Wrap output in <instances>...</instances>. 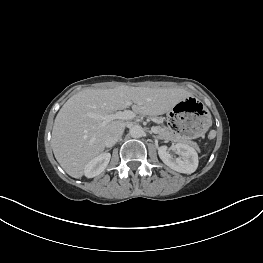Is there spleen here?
Listing matches in <instances>:
<instances>
[{
    "label": "spleen",
    "mask_w": 263,
    "mask_h": 263,
    "mask_svg": "<svg viewBox=\"0 0 263 263\" xmlns=\"http://www.w3.org/2000/svg\"><path fill=\"white\" fill-rule=\"evenodd\" d=\"M215 135H216L215 131H211L210 134H209V137L213 138V137H215Z\"/></svg>",
    "instance_id": "1"
}]
</instances>
